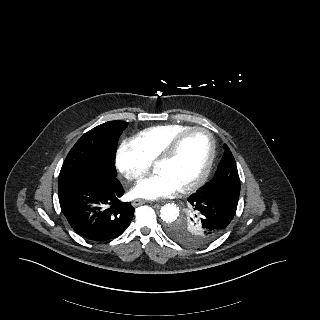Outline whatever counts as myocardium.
I'll list each match as a JSON object with an SVG mask.
<instances>
[{"instance_id":"obj_1","label":"myocardium","mask_w":320,"mask_h":320,"mask_svg":"<svg viewBox=\"0 0 320 320\" xmlns=\"http://www.w3.org/2000/svg\"><path fill=\"white\" fill-rule=\"evenodd\" d=\"M195 132H202L204 134L207 135L208 139H209V143H210V151H209V156H208V160L207 163L202 171V173L192 182L182 186L179 191L180 192H189L192 191L198 187H200L208 178L214 161H215V157H216V141L215 138L213 136V134L206 128L204 127H198V126H194V127H189L187 129H185L184 131L178 133L169 143L168 145L164 148V150L160 153V155L154 160V167L157 164L166 162L168 160H170L176 153L180 143L182 142V140Z\"/></svg>"}]
</instances>
